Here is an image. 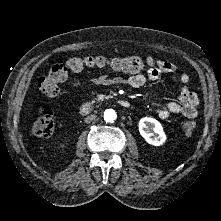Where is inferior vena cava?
<instances>
[{
	"label": "inferior vena cava",
	"mask_w": 221,
	"mask_h": 221,
	"mask_svg": "<svg viewBox=\"0 0 221 221\" xmlns=\"http://www.w3.org/2000/svg\"><path fill=\"white\" fill-rule=\"evenodd\" d=\"M96 119V115H89V116H87L86 118H85V122L86 123H90V122H92L93 120H95Z\"/></svg>",
	"instance_id": "inferior-vena-cava-1"
}]
</instances>
